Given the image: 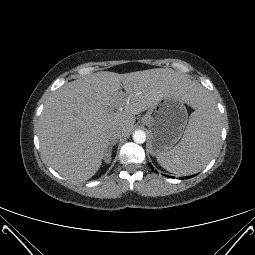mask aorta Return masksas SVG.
<instances>
[{"mask_svg":"<svg viewBox=\"0 0 255 255\" xmlns=\"http://www.w3.org/2000/svg\"><path fill=\"white\" fill-rule=\"evenodd\" d=\"M133 140L134 142L138 143V144H142L146 141V134L144 131L142 130H136L133 133Z\"/></svg>","mask_w":255,"mask_h":255,"instance_id":"obj_1","label":"aorta"}]
</instances>
